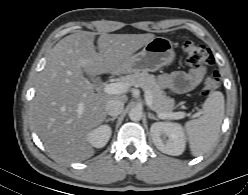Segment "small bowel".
<instances>
[{"label": "small bowel", "mask_w": 248, "mask_h": 195, "mask_svg": "<svg viewBox=\"0 0 248 195\" xmlns=\"http://www.w3.org/2000/svg\"><path fill=\"white\" fill-rule=\"evenodd\" d=\"M204 74V68H195L187 72L177 71L162 75L159 82L172 93L182 94L195 88L201 82Z\"/></svg>", "instance_id": "obj_1"}]
</instances>
